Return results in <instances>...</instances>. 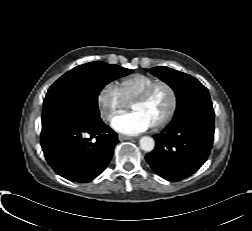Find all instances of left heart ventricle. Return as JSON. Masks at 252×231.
<instances>
[{
  "instance_id": "1",
  "label": "left heart ventricle",
  "mask_w": 252,
  "mask_h": 231,
  "mask_svg": "<svg viewBox=\"0 0 252 231\" xmlns=\"http://www.w3.org/2000/svg\"><path fill=\"white\" fill-rule=\"evenodd\" d=\"M171 102L168 89L164 86L158 87L150 99L146 102H136L131 105V109L142 113L152 125L160 121L167 113Z\"/></svg>"
}]
</instances>
